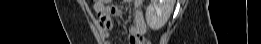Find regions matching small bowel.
<instances>
[{
	"mask_svg": "<svg viewBox=\"0 0 261 44\" xmlns=\"http://www.w3.org/2000/svg\"><path fill=\"white\" fill-rule=\"evenodd\" d=\"M133 4L134 10L132 12L131 22L128 28L130 44H136V39L142 37L147 30L146 22L140 9L142 5L141 1L136 0ZM94 9L98 15L101 35L107 43H111L109 37L114 28L112 16L121 14V9L117 6H110L109 4H106L105 6L95 5Z\"/></svg>",
	"mask_w": 261,
	"mask_h": 44,
	"instance_id": "small-bowel-1",
	"label": "small bowel"
}]
</instances>
